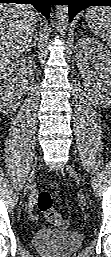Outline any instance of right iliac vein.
<instances>
[{
    "instance_id": "1",
    "label": "right iliac vein",
    "mask_w": 111,
    "mask_h": 257,
    "mask_svg": "<svg viewBox=\"0 0 111 257\" xmlns=\"http://www.w3.org/2000/svg\"><path fill=\"white\" fill-rule=\"evenodd\" d=\"M34 174H35V166H34L32 172H31V174H30L29 182H31V180L33 179ZM28 188H29V184L26 186V189H28Z\"/></svg>"
}]
</instances>
